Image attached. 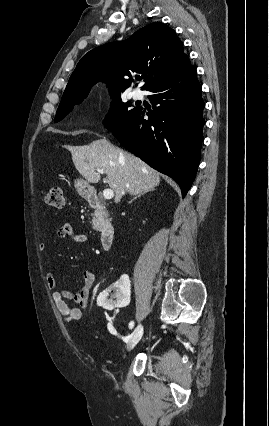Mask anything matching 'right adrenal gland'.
Masks as SVG:
<instances>
[{
	"label": "right adrenal gland",
	"instance_id": "obj_1",
	"mask_svg": "<svg viewBox=\"0 0 269 426\" xmlns=\"http://www.w3.org/2000/svg\"><path fill=\"white\" fill-rule=\"evenodd\" d=\"M146 192H141V193H139L137 196H135L131 201H130V203L134 200V199H136V198H138V197H140L141 195H143V194H145Z\"/></svg>",
	"mask_w": 269,
	"mask_h": 426
}]
</instances>
